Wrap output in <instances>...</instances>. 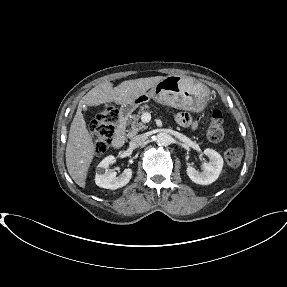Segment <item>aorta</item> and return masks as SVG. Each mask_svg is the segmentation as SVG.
I'll list each match as a JSON object with an SVG mask.
<instances>
[{
	"label": "aorta",
	"mask_w": 287,
	"mask_h": 287,
	"mask_svg": "<svg viewBox=\"0 0 287 287\" xmlns=\"http://www.w3.org/2000/svg\"><path fill=\"white\" fill-rule=\"evenodd\" d=\"M155 141L159 146H168L172 142V137L168 133L161 132L156 135Z\"/></svg>",
	"instance_id": "762f6f07"
}]
</instances>
